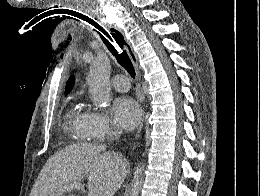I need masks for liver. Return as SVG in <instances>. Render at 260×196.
<instances>
[{"instance_id":"liver-1","label":"liver","mask_w":260,"mask_h":196,"mask_svg":"<svg viewBox=\"0 0 260 196\" xmlns=\"http://www.w3.org/2000/svg\"><path fill=\"white\" fill-rule=\"evenodd\" d=\"M95 144H73L50 156L30 196H62L63 188L87 178V196H114L127 174L126 162Z\"/></svg>"}]
</instances>
